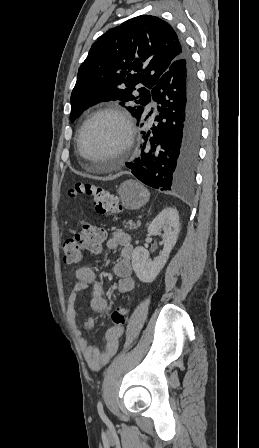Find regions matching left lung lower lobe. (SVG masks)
<instances>
[{
  "label": "left lung lower lobe",
  "mask_w": 259,
  "mask_h": 448,
  "mask_svg": "<svg viewBox=\"0 0 259 448\" xmlns=\"http://www.w3.org/2000/svg\"><path fill=\"white\" fill-rule=\"evenodd\" d=\"M150 97L159 104V115L154 119L157 123L147 133L141 132L145 142L140 156L126 166L148 186L180 192L193 184L201 138L196 70L184 43L182 56L160 77ZM152 113L137 116V124L143 126ZM148 139L150 145L146 146Z\"/></svg>",
  "instance_id": "obj_1"
}]
</instances>
